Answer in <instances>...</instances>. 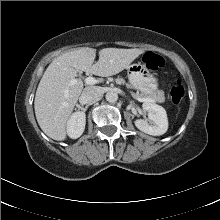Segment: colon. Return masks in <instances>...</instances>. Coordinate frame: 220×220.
Instances as JSON below:
<instances>
[{"mask_svg":"<svg viewBox=\"0 0 220 220\" xmlns=\"http://www.w3.org/2000/svg\"><path fill=\"white\" fill-rule=\"evenodd\" d=\"M143 62L150 70H159L166 64L164 57L158 53L147 52L143 56ZM184 96V88L179 81H175L169 90V98L171 102L178 105Z\"/></svg>","mask_w":220,"mask_h":220,"instance_id":"5ec220e1","label":"colon"}]
</instances>
